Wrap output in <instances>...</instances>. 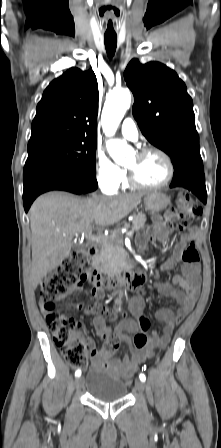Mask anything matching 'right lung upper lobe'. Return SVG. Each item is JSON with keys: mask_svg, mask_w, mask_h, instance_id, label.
Wrapping results in <instances>:
<instances>
[{"mask_svg": "<svg viewBox=\"0 0 221 448\" xmlns=\"http://www.w3.org/2000/svg\"><path fill=\"white\" fill-rule=\"evenodd\" d=\"M97 111L94 72L68 70L45 89L36 108L28 148L59 140L97 138Z\"/></svg>", "mask_w": 221, "mask_h": 448, "instance_id": "1", "label": "right lung upper lobe"}]
</instances>
